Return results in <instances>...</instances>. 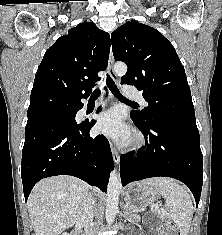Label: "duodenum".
I'll list each match as a JSON object with an SVG mask.
<instances>
[{"label":"duodenum","mask_w":222,"mask_h":235,"mask_svg":"<svg viewBox=\"0 0 222 235\" xmlns=\"http://www.w3.org/2000/svg\"><path fill=\"white\" fill-rule=\"evenodd\" d=\"M72 235H82L81 230L76 229L75 231H73Z\"/></svg>","instance_id":"obj_1"}]
</instances>
